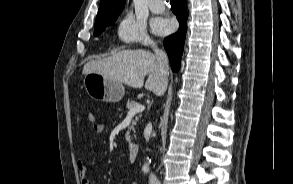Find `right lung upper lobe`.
Returning a JSON list of instances; mask_svg holds the SVG:
<instances>
[{
    "mask_svg": "<svg viewBox=\"0 0 293 184\" xmlns=\"http://www.w3.org/2000/svg\"><path fill=\"white\" fill-rule=\"evenodd\" d=\"M126 0H101L95 25L115 21L125 6Z\"/></svg>",
    "mask_w": 293,
    "mask_h": 184,
    "instance_id": "right-lung-upper-lobe-1",
    "label": "right lung upper lobe"
}]
</instances>
